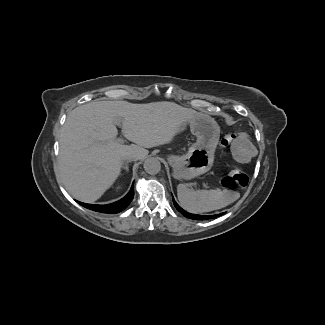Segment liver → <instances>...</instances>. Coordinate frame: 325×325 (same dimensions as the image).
<instances>
[{"label":"liver","mask_w":325,"mask_h":325,"mask_svg":"<svg viewBox=\"0 0 325 325\" xmlns=\"http://www.w3.org/2000/svg\"><path fill=\"white\" fill-rule=\"evenodd\" d=\"M195 111L174 102L94 101L73 109L60 132L54 171L77 200L93 202L115 181L128 150L144 152L167 141L172 127ZM121 134L136 145L116 142ZM144 147V148H143Z\"/></svg>","instance_id":"obj_1"}]
</instances>
